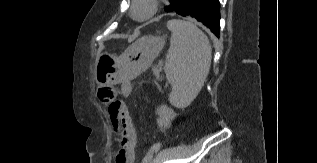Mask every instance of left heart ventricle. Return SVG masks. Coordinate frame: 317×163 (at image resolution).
Here are the masks:
<instances>
[{"label":"left heart ventricle","mask_w":317,"mask_h":163,"mask_svg":"<svg viewBox=\"0 0 317 163\" xmlns=\"http://www.w3.org/2000/svg\"><path fill=\"white\" fill-rule=\"evenodd\" d=\"M146 12V7L143 4H140L136 9V14L138 16L143 15Z\"/></svg>","instance_id":"b2bd125f"}]
</instances>
